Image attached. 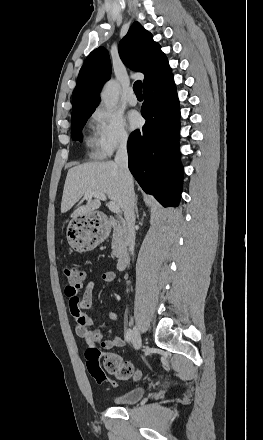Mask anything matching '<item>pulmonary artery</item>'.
Returning a JSON list of instances; mask_svg holds the SVG:
<instances>
[{"instance_id": "1", "label": "pulmonary artery", "mask_w": 263, "mask_h": 440, "mask_svg": "<svg viewBox=\"0 0 263 440\" xmlns=\"http://www.w3.org/2000/svg\"><path fill=\"white\" fill-rule=\"evenodd\" d=\"M127 102L129 103V105L131 106H135L137 104V98L135 96V94L133 93V90H130L127 94Z\"/></svg>"}]
</instances>
